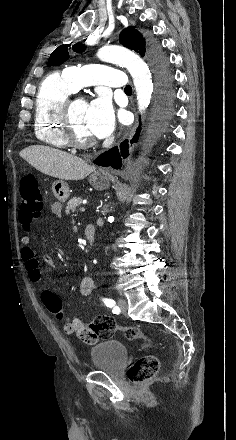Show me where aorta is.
<instances>
[{"mask_svg": "<svg viewBox=\"0 0 236 440\" xmlns=\"http://www.w3.org/2000/svg\"><path fill=\"white\" fill-rule=\"evenodd\" d=\"M97 56L104 62L119 64L127 68L133 78L138 109L143 112L149 106L153 93L151 73L147 64L134 52L117 45L102 47Z\"/></svg>", "mask_w": 236, "mask_h": 440, "instance_id": "762f6f07", "label": "aorta"}]
</instances>
